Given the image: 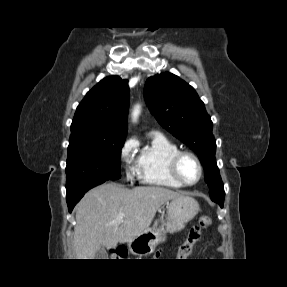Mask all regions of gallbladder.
<instances>
[{"label": "gallbladder", "instance_id": "obj_1", "mask_svg": "<svg viewBox=\"0 0 287 287\" xmlns=\"http://www.w3.org/2000/svg\"><path fill=\"white\" fill-rule=\"evenodd\" d=\"M95 259H106V252L103 247H100L95 254Z\"/></svg>", "mask_w": 287, "mask_h": 287}]
</instances>
